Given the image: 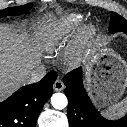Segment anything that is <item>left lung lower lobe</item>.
<instances>
[{"label": "left lung lower lobe", "instance_id": "1", "mask_svg": "<svg viewBox=\"0 0 127 127\" xmlns=\"http://www.w3.org/2000/svg\"><path fill=\"white\" fill-rule=\"evenodd\" d=\"M63 81L68 98L70 127H127V116L114 121L107 120L95 109L83 86L82 68L66 74Z\"/></svg>", "mask_w": 127, "mask_h": 127}]
</instances>
